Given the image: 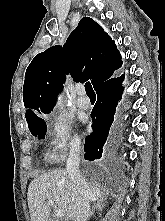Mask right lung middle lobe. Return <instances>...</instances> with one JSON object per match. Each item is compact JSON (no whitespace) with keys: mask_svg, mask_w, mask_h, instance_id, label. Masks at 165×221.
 Listing matches in <instances>:
<instances>
[{"mask_svg":"<svg viewBox=\"0 0 165 221\" xmlns=\"http://www.w3.org/2000/svg\"><path fill=\"white\" fill-rule=\"evenodd\" d=\"M28 127L32 135H34L35 137H38L40 139L45 138L47 126L43 118L39 117L34 121L29 122Z\"/></svg>","mask_w":165,"mask_h":221,"instance_id":"dd1d6c3e","label":"right lung middle lobe"}]
</instances>
